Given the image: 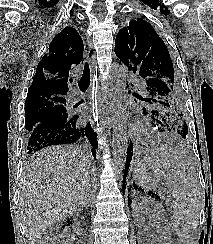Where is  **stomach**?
Here are the masks:
<instances>
[{"instance_id": "obj_1", "label": "stomach", "mask_w": 213, "mask_h": 244, "mask_svg": "<svg viewBox=\"0 0 213 244\" xmlns=\"http://www.w3.org/2000/svg\"><path fill=\"white\" fill-rule=\"evenodd\" d=\"M154 149H139V154H147L144 158H137L133 163V175L136 184L143 189L157 192L163 178L157 172Z\"/></svg>"}]
</instances>
